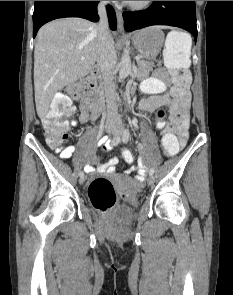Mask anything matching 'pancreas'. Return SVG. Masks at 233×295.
Listing matches in <instances>:
<instances>
[{
  "label": "pancreas",
  "instance_id": "cf45deb5",
  "mask_svg": "<svg viewBox=\"0 0 233 295\" xmlns=\"http://www.w3.org/2000/svg\"><path fill=\"white\" fill-rule=\"evenodd\" d=\"M153 62H148L145 60H139L138 61V72L136 74V77L139 80L145 79L149 76L150 72L153 70L154 67ZM101 86V84H100Z\"/></svg>",
  "mask_w": 233,
  "mask_h": 295
}]
</instances>
